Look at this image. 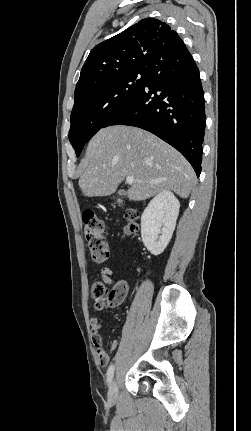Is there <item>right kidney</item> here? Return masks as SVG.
<instances>
[{"label": "right kidney", "mask_w": 251, "mask_h": 431, "mask_svg": "<svg viewBox=\"0 0 251 431\" xmlns=\"http://www.w3.org/2000/svg\"><path fill=\"white\" fill-rule=\"evenodd\" d=\"M180 203L165 190L155 196L141 216V236L147 250L157 256L170 242L176 226Z\"/></svg>", "instance_id": "1"}]
</instances>
